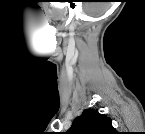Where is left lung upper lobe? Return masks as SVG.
Segmentation results:
<instances>
[{
  "label": "left lung upper lobe",
  "mask_w": 145,
  "mask_h": 134,
  "mask_svg": "<svg viewBox=\"0 0 145 134\" xmlns=\"http://www.w3.org/2000/svg\"><path fill=\"white\" fill-rule=\"evenodd\" d=\"M70 134H117L110 117L98 110L86 109L77 117L69 130Z\"/></svg>",
  "instance_id": "5c2ea615"
}]
</instances>
